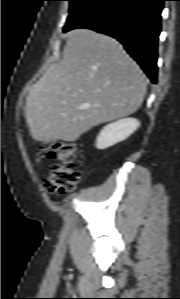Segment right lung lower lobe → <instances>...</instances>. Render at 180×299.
<instances>
[{
    "label": "right lung lower lobe",
    "mask_w": 180,
    "mask_h": 299,
    "mask_svg": "<svg viewBox=\"0 0 180 299\" xmlns=\"http://www.w3.org/2000/svg\"><path fill=\"white\" fill-rule=\"evenodd\" d=\"M165 0H104L64 32L88 28L120 41L151 82L157 81L158 40Z\"/></svg>",
    "instance_id": "98d812e1"
}]
</instances>
